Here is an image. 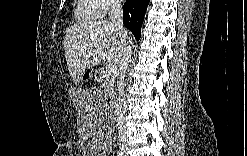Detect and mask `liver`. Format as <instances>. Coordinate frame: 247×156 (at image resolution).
Returning <instances> with one entry per match:
<instances>
[{"instance_id":"1","label":"liver","mask_w":247,"mask_h":156,"mask_svg":"<svg viewBox=\"0 0 247 156\" xmlns=\"http://www.w3.org/2000/svg\"><path fill=\"white\" fill-rule=\"evenodd\" d=\"M63 44L69 74L77 84L90 67L106 60L120 64L126 45L132 44V36L111 21H88L68 27Z\"/></svg>"}]
</instances>
